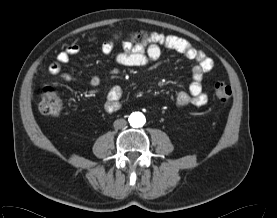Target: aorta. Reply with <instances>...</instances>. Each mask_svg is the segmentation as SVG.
<instances>
[{
    "mask_svg": "<svg viewBox=\"0 0 277 218\" xmlns=\"http://www.w3.org/2000/svg\"><path fill=\"white\" fill-rule=\"evenodd\" d=\"M145 116L141 112H133L129 116V123L133 127H142L145 124Z\"/></svg>",
    "mask_w": 277,
    "mask_h": 218,
    "instance_id": "obj_1",
    "label": "aorta"
}]
</instances>
